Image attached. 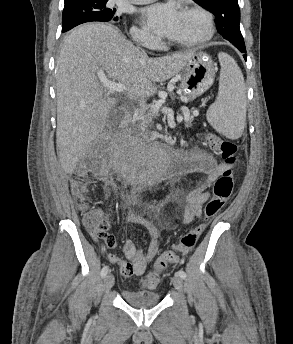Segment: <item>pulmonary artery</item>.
Instances as JSON below:
<instances>
[{"label": "pulmonary artery", "mask_w": 293, "mask_h": 344, "mask_svg": "<svg viewBox=\"0 0 293 344\" xmlns=\"http://www.w3.org/2000/svg\"><path fill=\"white\" fill-rule=\"evenodd\" d=\"M127 1L133 4H146L154 0H127Z\"/></svg>", "instance_id": "e3ab8cb5"}]
</instances>
